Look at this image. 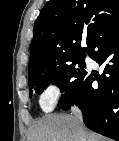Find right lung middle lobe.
<instances>
[{"mask_svg": "<svg viewBox=\"0 0 119 141\" xmlns=\"http://www.w3.org/2000/svg\"><path fill=\"white\" fill-rule=\"evenodd\" d=\"M84 58L77 57L60 67L42 70L28 75L30 97L33 92L42 93L48 85L53 83L60 88L61 92H64L58 106L66 104L86 74ZM77 64L78 66H76Z\"/></svg>", "mask_w": 119, "mask_h": 141, "instance_id": "obj_1", "label": "right lung middle lobe"}]
</instances>
